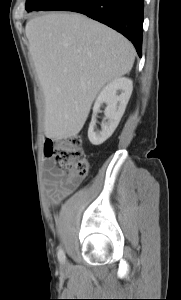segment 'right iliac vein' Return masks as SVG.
<instances>
[{"mask_svg": "<svg viewBox=\"0 0 181 300\" xmlns=\"http://www.w3.org/2000/svg\"><path fill=\"white\" fill-rule=\"evenodd\" d=\"M62 269L66 270L67 269V264H63Z\"/></svg>", "mask_w": 181, "mask_h": 300, "instance_id": "right-iliac-vein-1", "label": "right iliac vein"}]
</instances>
